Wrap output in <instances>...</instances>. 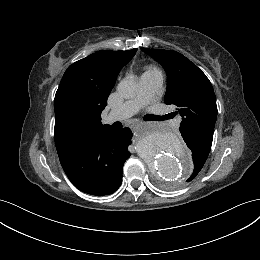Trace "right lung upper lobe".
Instances as JSON below:
<instances>
[{
  "label": "right lung upper lobe",
  "instance_id": "cb5924a9",
  "mask_svg": "<svg viewBox=\"0 0 260 260\" xmlns=\"http://www.w3.org/2000/svg\"><path fill=\"white\" fill-rule=\"evenodd\" d=\"M136 51H98L68 67L54 99L58 154L84 136L110 128L102 125L101 112L119 71Z\"/></svg>",
  "mask_w": 260,
  "mask_h": 260
}]
</instances>
